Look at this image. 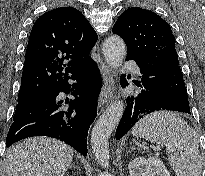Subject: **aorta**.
<instances>
[{
	"label": "aorta",
	"mask_w": 205,
	"mask_h": 176,
	"mask_svg": "<svg viewBox=\"0 0 205 176\" xmlns=\"http://www.w3.org/2000/svg\"><path fill=\"white\" fill-rule=\"evenodd\" d=\"M103 53L110 67L117 69L121 66L125 55L126 47L119 36L108 37L103 44ZM124 112L122 101H115L98 119L91 134V146L95 159L102 167L109 166V137L118 125Z\"/></svg>",
	"instance_id": "762f6f07"
}]
</instances>
